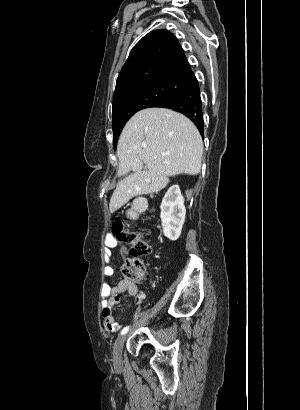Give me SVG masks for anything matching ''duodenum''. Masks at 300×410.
<instances>
[{"label": "duodenum", "instance_id": "obj_1", "mask_svg": "<svg viewBox=\"0 0 300 410\" xmlns=\"http://www.w3.org/2000/svg\"><path fill=\"white\" fill-rule=\"evenodd\" d=\"M145 209V203L141 200H137L134 203L133 209H132V214L134 217H138Z\"/></svg>", "mask_w": 300, "mask_h": 410}]
</instances>
